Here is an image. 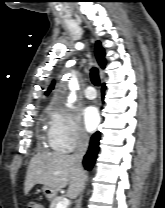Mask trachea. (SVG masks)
<instances>
[{
	"label": "trachea",
	"instance_id": "1",
	"mask_svg": "<svg viewBox=\"0 0 165 208\" xmlns=\"http://www.w3.org/2000/svg\"><path fill=\"white\" fill-rule=\"evenodd\" d=\"M90 78L92 83L95 86H99L100 85V77H99V71L96 67H92L90 70Z\"/></svg>",
	"mask_w": 165,
	"mask_h": 208
}]
</instances>
